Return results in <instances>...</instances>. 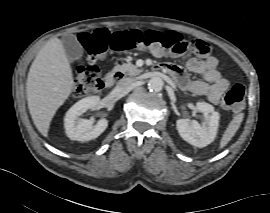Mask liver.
Returning <instances> with one entry per match:
<instances>
[{
  "instance_id": "obj_1",
  "label": "liver",
  "mask_w": 270,
  "mask_h": 213,
  "mask_svg": "<svg viewBox=\"0 0 270 213\" xmlns=\"http://www.w3.org/2000/svg\"><path fill=\"white\" fill-rule=\"evenodd\" d=\"M74 86L73 73L60 39L52 38L40 49L29 69L28 109L38 131L47 137L56 111Z\"/></svg>"
}]
</instances>
